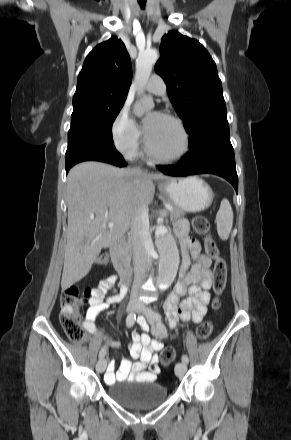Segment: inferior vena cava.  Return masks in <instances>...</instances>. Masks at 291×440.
Masks as SVG:
<instances>
[{
	"instance_id": "obj_1",
	"label": "inferior vena cava",
	"mask_w": 291,
	"mask_h": 440,
	"mask_svg": "<svg viewBox=\"0 0 291 440\" xmlns=\"http://www.w3.org/2000/svg\"><path fill=\"white\" fill-rule=\"evenodd\" d=\"M130 239L133 249L134 282L130 301L141 305L139 291L145 278L147 267L151 264L153 244L149 234V218L146 208H139L131 219Z\"/></svg>"
}]
</instances>
